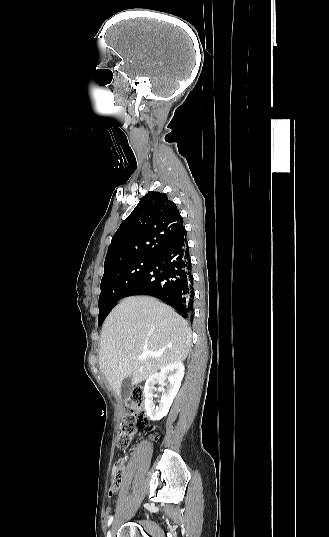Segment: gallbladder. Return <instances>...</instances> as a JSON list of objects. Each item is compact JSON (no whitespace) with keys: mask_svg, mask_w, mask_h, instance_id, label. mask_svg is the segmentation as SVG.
I'll use <instances>...</instances> for the list:
<instances>
[{"mask_svg":"<svg viewBox=\"0 0 329 537\" xmlns=\"http://www.w3.org/2000/svg\"><path fill=\"white\" fill-rule=\"evenodd\" d=\"M133 390L132 377H126L121 384L120 395L125 398L131 394Z\"/></svg>","mask_w":329,"mask_h":537,"instance_id":"1","label":"gallbladder"}]
</instances>
